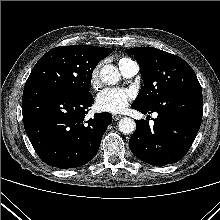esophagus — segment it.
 I'll use <instances>...</instances> for the list:
<instances>
[{
  "label": "esophagus",
  "instance_id": "obj_1",
  "mask_svg": "<svg viewBox=\"0 0 220 220\" xmlns=\"http://www.w3.org/2000/svg\"><path fill=\"white\" fill-rule=\"evenodd\" d=\"M113 120L117 121L119 120L122 116L121 115H117V114H113Z\"/></svg>",
  "mask_w": 220,
  "mask_h": 220
}]
</instances>
